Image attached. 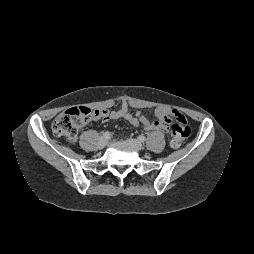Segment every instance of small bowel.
<instances>
[{
  "instance_id": "small-bowel-1",
  "label": "small bowel",
  "mask_w": 254,
  "mask_h": 254,
  "mask_svg": "<svg viewBox=\"0 0 254 254\" xmlns=\"http://www.w3.org/2000/svg\"><path fill=\"white\" fill-rule=\"evenodd\" d=\"M135 108L136 105L128 102H123L121 107L116 110H99V119L102 121L124 119L132 126H142L146 131H168L170 117L173 113L168 106L159 105L158 107H156V119L154 121H150L139 111L134 112Z\"/></svg>"
}]
</instances>
